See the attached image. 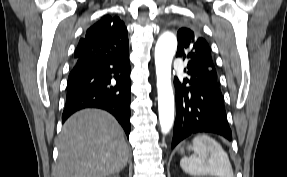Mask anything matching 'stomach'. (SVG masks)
I'll list each match as a JSON object with an SVG mask.
<instances>
[{"label":"stomach","mask_w":287,"mask_h":177,"mask_svg":"<svg viewBox=\"0 0 287 177\" xmlns=\"http://www.w3.org/2000/svg\"><path fill=\"white\" fill-rule=\"evenodd\" d=\"M180 153H184V148L183 147L180 149Z\"/></svg>","instance_id":"stomach-1"}]
</instances>
